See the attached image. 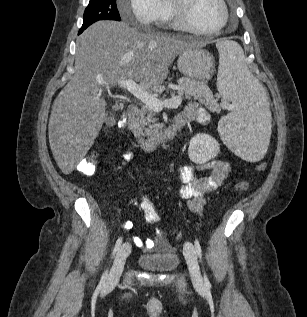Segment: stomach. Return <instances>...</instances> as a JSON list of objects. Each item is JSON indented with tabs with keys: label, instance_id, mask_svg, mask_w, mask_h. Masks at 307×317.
Returning <instances> with one entry per match:
<instances>
[{
	"label": "stomach",
	"instance_id": "0dacf381",
	"mask_svg": "<svg viewBox=\"0 0 307 317\" xmlns=\"http://www.w3.org/2000/svg\"><path fill=\"white\" fill-rule=\"evenodd\" d=\"M177 66L190 79L208 81L213 72L214 58L208 51L194 45L179 54Z\"/></svg>",
	"mask_w": 307,
	"mask_h": 317
}]
</instances>
